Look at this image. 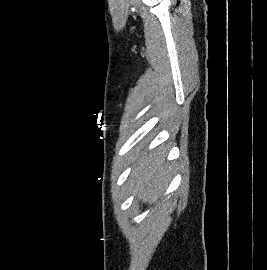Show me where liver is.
<instances>
[{
    "label": "liver",
    "mask_w": 267,
    "mask_h": 270,
    "mask_svg": "<svg viewBox=\"0 0 267 270\" xmlns=\"http://www.w3.org/2000/svg\"><path fill=\"white\" fill-rule=\"evenodd\" d=\"M166 150L159 147L148 153L138 152L130 174L131 190L145 203H154L171 181L172 165L166 162Z\"/></svg>",
    "instance_id": "liver-1"
}]
</instances>
